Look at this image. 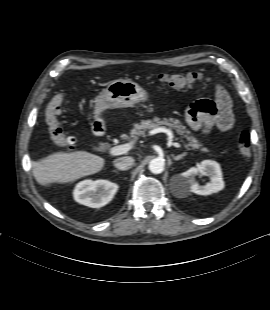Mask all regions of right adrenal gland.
<instances>
[{
    "label": "right adrenal gland",
    "mask_w": 270,
    "mask_h": 310,
    "mask_svg": "<svg viewBox=\"0 0 270 310\" xmlns=\"http://www.w3.org/2000/svg\"><path fill=\"white\" fill-rule=\"evenodd\" d=\"M113 172H115L116 174H119L117 170H113Z\"/></svg>",
    "instance_id": "right-adrenal-gland-1"
}]
</instances>
